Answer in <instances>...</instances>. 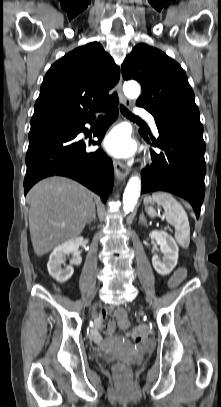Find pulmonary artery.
<instances>
[{
	"mask_svg": "<svg viewBox=\"0 0 221 407\" xmlns=\"http://www.w3.org/2000/svg\"><path fill=\"white\" fill-rule=\"evenodd\" d=\"M134 113L136 115H138V116L144 117L149 122V124H150L151 128L153 129V131L157 132V126H156V123H155V119L150 113H148L144 109H140V108L135 109Z\"/></svg>",
	"mask_w": 221,
	"mask_h": 407,
	"instance_id": "pulmonary-artery-1",
	"label": "pulmonary artery"
}]
</instances>
